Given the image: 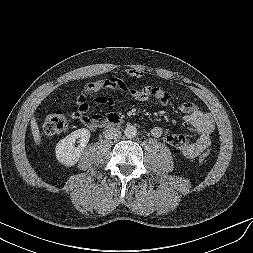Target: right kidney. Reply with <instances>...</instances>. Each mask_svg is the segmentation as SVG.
<instances>
[{
  "label": "right kidney",
  "instance_id": "ca27d5eb",
  "mask_svg": "<svg viewBox=\"0 0 253 253\" xmlns=\"http://www.w3.org/2000/svg\"><path fill=\"white\" fill-rule=\"evenodd\" d=\"M79 139V145L75 147V142ZM90 139V131L86 128L75 130L60 140L55 148L58 162L66 167L75 165L81 157Z\"/></svg>",
  "mask_w": 253,
  "mask_h": 253
}]
</instances>
